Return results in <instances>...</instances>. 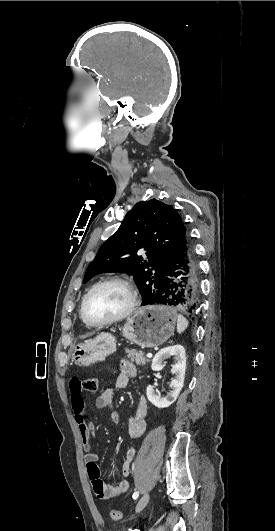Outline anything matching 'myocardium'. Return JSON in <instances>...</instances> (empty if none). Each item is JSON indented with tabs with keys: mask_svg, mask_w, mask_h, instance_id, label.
<instances>
[{
	"mask_svg": "<svg viewBox=\"0 0 275 531\" xmlns=\"http://www.w3.org/2000/svg\"><path fill=\"white\" fill-rule=\"evenodd\" d=\"M108 284H119V285L123 286L127 290L128 294H129V298H130L129 305H128L127 309L123 313L118 315V316H115V317H113L111 319H108V320H105V321L92 322V321L88 320L86 318V316H85V312H84L85 302L88 299V297L94 291H96L100 287L108 285ZM137 302H138V292H137L136 288L134 287V285L131 283V281L128 278H126V277L111 276V277L105 278V279L99 281L98 283H96L84 295V297L82 298L81 304H80V316H81L83 322L85 324H87L88 326H91V327L108 326V325L123 321L126 318H128L134 312V310H135V308L137 306Z\"/></svg>",
	"mask_w": 275,
	"mask_h": 531,
	"instance_id": "obj_1",
	"label": "myocardium"
}]
</instances>
